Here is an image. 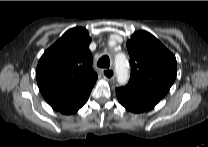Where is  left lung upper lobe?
<instances>
[{"mask_svg": "<svg viewBox=\"0 0 208 147\" xmlns=\"http://www.w3.org/2000/svg\"><path fill=\"white\" fill-rule=\"evenodd\" d=\"M131 77L129 87L162 99L177 74L175 56L152 34L139 31L127 42Z\"/></svg>", "mask_w": 208, "mask_h": 147, "instance_id": "5c2ea615", "label": "left lung upper lobe"}]
</instances>
